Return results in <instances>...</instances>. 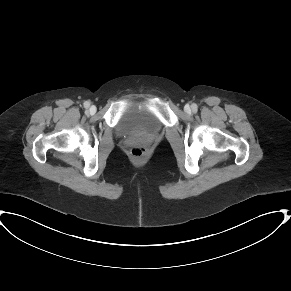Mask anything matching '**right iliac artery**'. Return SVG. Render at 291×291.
Listing matches in <instances>:
<instances>
[{
	"label": "right iliac artery",
	"mask_w": 291,
	"mask_h": 291,
	"mask_svg": "<svg viewBox=\"0 0 291 291\" xmlns=\"http://www.w3.org/2000/svg\"><path fill=\"white\" fill-rule=\"evenodd\" d=\"M89 106H90V103L86 101V102L84 103V107H85V108H88Z\"/></svg>",
	"instance_id": "right-iliac-artery-1"
}]
</instances>
